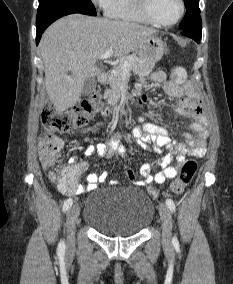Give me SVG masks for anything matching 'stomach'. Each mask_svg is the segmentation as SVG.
<instances>
[{
    "mask_svg": "<svg viewBox=\"0 0 233 284\" xmlns=\"http://www.w3.org/2000/svg\"><path fill=\"white\" fill-rule=\"evenodd\" d=\"M165 52V43L155 35L148 37L138 49V56L147 63L155 64Z\"/></svg>",
    "mask_w": 233,
    "mask_h": 284,
    "instance_id": "0dacf381",
    "label": "stomach"
}]
</instances>
